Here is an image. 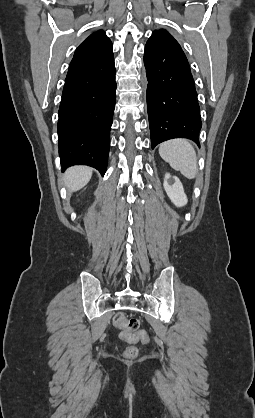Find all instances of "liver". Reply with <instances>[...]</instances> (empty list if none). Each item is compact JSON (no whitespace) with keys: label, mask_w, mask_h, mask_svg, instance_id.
Segmentation results:
<instances>
[{"label":"liver","mask_w":255,"mask_h":418,"mask_svg":"<svg viewBox=\"0 0 255 418\" xmlns=\"http://www.w3.org/2000/svg\"><path fill=\"white\" fill-rule=\"evenodd\" d=\"M92 169L86 166H74L65 173L64 182L71 192L82 189L91 179Z\"/></svg>","instance_id":"6515ba94"}]
</instances>
